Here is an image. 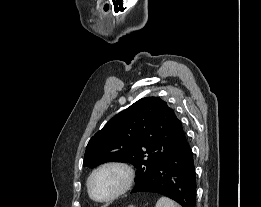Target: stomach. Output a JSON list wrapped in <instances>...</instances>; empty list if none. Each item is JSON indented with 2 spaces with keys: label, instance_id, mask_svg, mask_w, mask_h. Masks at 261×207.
I'll return each mask as SVG.
<instances>
[{
  "label": "stomach",
  "instance_id": "1",
  "mask_svg": "<svg viewBox=\"0 0 261 207\" xmlns=\"http://www.w3.org/2000/svg\"><path fill=\"white\" fill-rule=\"evenodd\" d=\"M128 207H134V206L130 205V206H128Z\"/></svg>",
  "mask_w": 261,
  "mask_h": 207
}]
</instances>
